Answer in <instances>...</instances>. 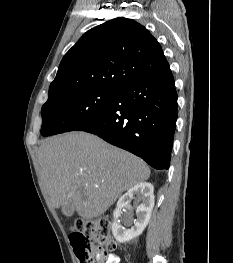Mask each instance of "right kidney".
Returning <instances> with one entry per match:
<instances>
[{
	"label": "right kidney",
	"instance_id": "ca27d5eb",
	"mask_svg": "<svg viewBox=\"0 0 233 263\" xmlns=\"http://www.w3.org/2000/svg\"><path fill=\"white\" fill-rule=\"evenodd\" d=\"M154 187L151 183L141 182L128 190L117 202V207L113 212L114 222L112 224V233L115 239L120 243L129 242L138 237L146 228L154 207ZM135 198L137 203L141 202L136 210V219L131 229L123 227L118 218L122 214V208L130 206L131 199Z\"/></svg>",
	"mask_w": 233,
	"mask_h": 263
}]
</instances>
